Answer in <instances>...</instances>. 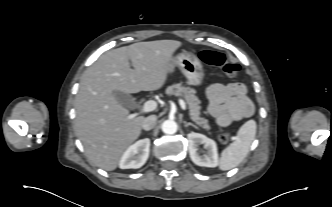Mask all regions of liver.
<instances>
[{
    "mask_svg": "<svg viewBox=\"0 0 332 207\" xmlns=\"http://www.w3.org/2000/svg\"><path fill=\"white\" fill-rule=\"evenodd\" d=\"M181 45L176 40H157L113 49L83 73L75 100V130L94 165L115 170L124 151L139 137L145 119L130 118L114 92L131 94L162 88L172 55Z\"/></svg>",
    "mask_w": 332,
    "mask_h": 207,
    "instance_id": "1",
    "label": "liver"
}]
</instances>
